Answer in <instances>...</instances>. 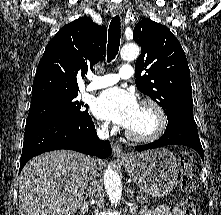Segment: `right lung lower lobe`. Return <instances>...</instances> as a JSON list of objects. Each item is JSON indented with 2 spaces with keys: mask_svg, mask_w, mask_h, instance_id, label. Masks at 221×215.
<instances>
[{
  "mask_svg": "<svg viewBox=\"0 0 221 215\" xmlns=\"http://www.w3.org/2000/svg\"><path fill=\"white\" fill-rule=\"evenodd\" d=\"M70 149L103 159L111 154L108 141L98 139L91 117L70 123L60 120H42L25 126L20 171L32 157L41 153Z\"/></svg>",
  "mask_w": 221,
  "mask_h": 215,
  "instance_id": "98d812e1",
  "label": "right lung lower lobe"
}]
</instances>
